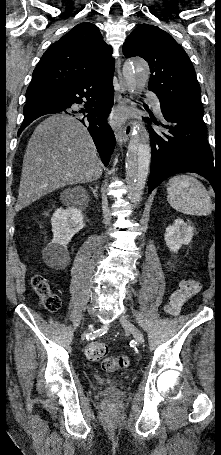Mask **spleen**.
Returning a JSON list of instances; mask_svg holds the SVG:
<instances>
[{
    "label": "spleen",
    "mask_w": 221,
    "mask_h": 455,
    "mask_svg": "<svg viewBox=\"0 0 221 455\" xmlns=\"http://www.w3.org/2000/svg\"><path fill=\"white\" fill-rule=\"evenodd\" d=\"M167 200L177 211L206 216L212 211L211 198L204 185L189 175H176L167 184Z\"/></svg>",
    "instance_id": "1"
}]
</instances>
